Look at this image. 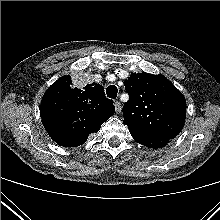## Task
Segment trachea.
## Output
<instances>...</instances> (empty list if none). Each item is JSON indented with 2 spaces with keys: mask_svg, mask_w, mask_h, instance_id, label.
<instances>
[{
  "mask_svg": "<svg viewBox=\"0 0 220 220\" xmlns=\"http://www.w3.org/2000/svg\"><path fill=\"white\" fill-rule=\"evenodd\" d=\"M118 89L115 85H110L106 89L107 97L115 99L117 97Z\"/></svg>",
  "mask_w": 220,
  "mask_h": 220,
  "instance_id": "obj_1",
  "label": "trachea"
}]
</instances>
